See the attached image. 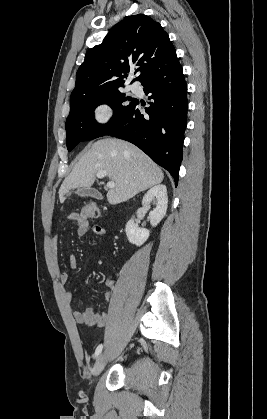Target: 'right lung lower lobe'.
I'll return each mask as SVG.
<instances>
[{
  "label": "right lung lower lobe",
  "mask_w": 267,
  "mask_h": 419,
  "mask_svg": "<svg viewBox=\"0 0 267 419\" xmlns=\"http://www.w3.org/2000/svg\"><path fill=\"white\" fill-rule=\"evenodd\" d=\"M150 94L147 115L140 113L136 99L129 112L106 134L138 146L154 162L173 176L175 185L182 161L184 132L187 126V84L179 61L156 70L141 81Z\"/></svg>",
  "instance_id": "obj_1"
}]
</instances>
